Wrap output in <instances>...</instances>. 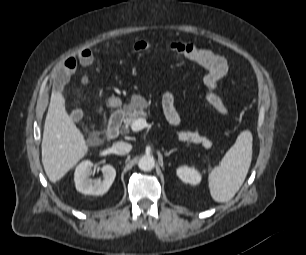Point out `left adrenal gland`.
<instances>
[{"label":"left adrenal gland","instance_id":"obj_1","mask_svg":"<svg viewBox=\"0 0 306 255\" xmlns=\"http://www.w3.org/2000/svg\"><path fill=\"white\" fill-rule=\"evenodd\" d=\"M175 151H177V149H176V148L171 149L170 151L165 152V153H164V155H165V156H170V154H172V153H173V152H175Z\"/></svg>","mask_w":306,"mask_h":255}]
</instances>
